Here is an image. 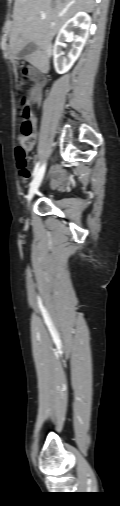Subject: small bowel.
<instances>
[{
	"instance_id": "1",
	"label": "small bowel",
	"mask_w": 120,
	"mask_h": 506,
	"mask_svg": "<svg viewBox=\"0 0 120 506\" xmlns=\"http://www.w3.org/2000/svg\"><path fill=\"white\" fill-rule=\"evenodd\" d=\"M30 77L34 82V86L30 90V99L33 102H39L41 97V92L46 84L47 77L45 74H42L36 70H32L30 72ZM34 121V117H33ZM54 178L56 183L62 185L66 182L65 174L63 171L56 170L54 173ZM27 179V178H24Z\"/></svg>"
}]
</instances>
